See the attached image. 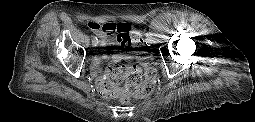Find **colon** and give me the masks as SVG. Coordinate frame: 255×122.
<instances>
[{"instance_id":"colon-1","label":"colon","mask_w":255,"mask_h":122,"mask_svg":"<svg viewBox=\"0 0 255 122\" xmlns=\"http://www.w3.org/2000/svg\"><path fill=\"white\" fill-rule=\"evenodd\" d=\"M88 27L93 31H103L107 34L116 33L125 39L124 44L134 46L143 54V39L139 31L126 23H105L103 25L91 22ZM125 84V92H122L117 85ZM156 83V70L148 63H144L143 69L137 66H124L119 64L110 65L103 77L98 82L99 92L106 97H116L120 95V101L128 104L132 97L142 98L150 95Z\"/></svg>"}]
</instances>
